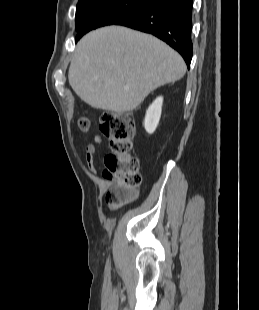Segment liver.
Listing matches in <instances>:
<instances>
[{"mask_svg":"<svg viewBox=\"0 0 259 310\" xmlns=\"http://www.w3.org/2000/svg\"><path fill=\"white\" fill-rule=\"evenodd\" d=\"M182 57L156 37L121 26H108L82 37L69 72L74 92L96 109L135 110L156 88L180 80Z\"/></svg>","mask_w":259,"mask_h":310,"instance_id":"6515ba94","label":"liver"}]
</instances>
